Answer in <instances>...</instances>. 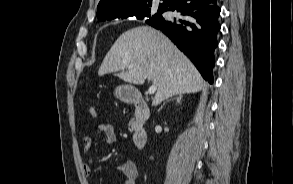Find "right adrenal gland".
Returning a JSON list of instances; mask_svg holds the SVG:
<instances>
[{
    "label": "right adrenal gland",
    "instance_id": "right-adrenal-gland-1",
    "mask_svg": "<svg viewBox=\"0 0 293 184\" xmlns=\"http://www.w3.org/2000/svg\"><path fill=\"white\" fill-rule=\"evenodd\" d=\"M182 98H183V95H178L177 97L171 99V100H175L177 104H180L182 102ZM169 100V101H171ZM165 105V103L159 108L158 112H160L163 108V106Z\"/></svg>",
    "mask_w": 293,
    "mask_h": 184
}]
</instances>
